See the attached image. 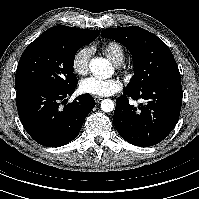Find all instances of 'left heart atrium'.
I'll use <instances>...</instances> for the list:
<instances>
[{
	"label": "left heart atrium",
	"mask_w": 199,
	"mask_h": 199,
	"mask_svg": "<svg viewBox=\"0 0 199 199\" xmlns=\"http://www.w3.org/2000/svg\"><path fill=\"white\" fill-rule=\"evenodd\" d=\"M122 88V83L116 78L88 77L79 83V90L83 94L92 96H109Z\"/></svg>",
	"instance_id": "left-heart-atrium-1"
}]
</instances>
